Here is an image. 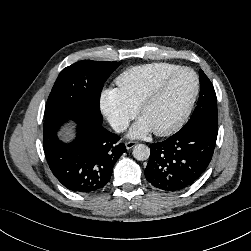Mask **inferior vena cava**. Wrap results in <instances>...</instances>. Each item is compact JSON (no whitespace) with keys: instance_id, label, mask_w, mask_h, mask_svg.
<instances>
[{"instance_id":"602c4592","label":"inferior vena cava","mask_w":251,"mask_h":251,"mask_svg":"<svg viewBox=\"0 0 251 251\" xmlns=\"http://www.w3.org/2000/svg\"><path fill=\"white\" fill-rule=\"evenodd\" d=\"M111 126L116 132L120 133L128 128L129 123L126 120H114L112 121Z\"/></svg>"}]
</instances>
